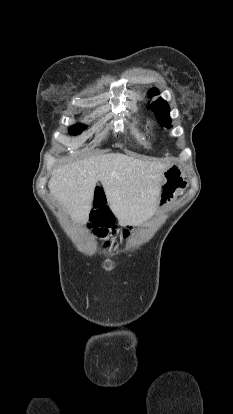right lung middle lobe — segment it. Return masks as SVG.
Segmentation results:
<instances>
[{"label": "right lung middle lobe", "mask_w": 233, "mask_h": 414, "mask_svg": "<svg viewBox=\"0 0 233 414\" xmlns=\"http://www.w3.org/2000/svg\"><path fill=\"white\" fill-rule=\"evenodd\" d=\"M85 128H86L85 125L77 124V125H74V126L70 127L69 132H70L71 135H77L82 130H84Z\"/></svg>", "instance_id": "right-lung-middle-lobe-1"}]
</instances>
